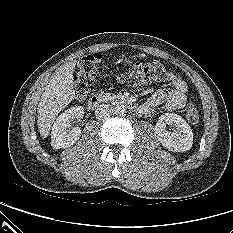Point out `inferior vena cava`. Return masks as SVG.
Segmentation results:
<instances>
[{"label":"inferior vena cava","mask_w":233,"mask_h":233,"mask_svg":"<svg viewBox=\"0 0 233 233\" xmlns=\"http://www.w3.org/2000/svg\"><path fill=\"white\" fill-rule=\"evenodd\" d=\"M113 112L112 107L108 104H101L95 110V115L97 119H106L111 116Z\"/></svg>","instance_id":"inferior-vena-cava-1"}]
</instances>
